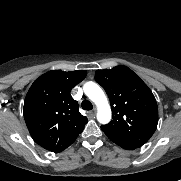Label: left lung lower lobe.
I'll use <instances>...</instances> for the list:
<instances>
[{
  "label": "left lung lower lobe",
  "instance_id": "0a47b994",
  "mask_svg": "<svg viewBox=\"0 0 181 181\" xmlns=\"http://www.w3.org/2000/svg\"><path fill=\"white\" fill-rule=\"evenodd\" d=\"M138 147H127V148H124V149H128V150H133V149H136Z\"/></svg>",
  "mask_w": 181,
  "mask_h": 181
}]
</instances>
